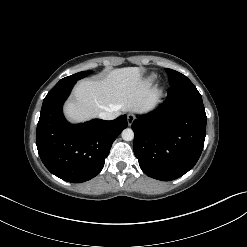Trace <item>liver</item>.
Returning a JSON list of instances; mask_svg holds the SVG:
<instances>
[{
    "instance_id": "1",
    "label": "liver",
    "mask_w": 247,
    "mask_h": 247,
    "mask_svg": "<svg viewBox=\"0 0 247 247\" xmlns=\"http://www.w3.org/2000/svg\"><path fill=\"white\" fill-rule=\"evenodd\" d=\"M158 92L143 80L140 68L125 67L110 71L102 80H82L73 99L64 108L67 118L83 122L104 111L146 113L158 103Z\"/></svg>"
}]
</instances>
